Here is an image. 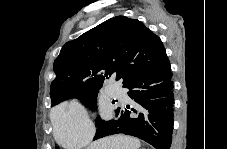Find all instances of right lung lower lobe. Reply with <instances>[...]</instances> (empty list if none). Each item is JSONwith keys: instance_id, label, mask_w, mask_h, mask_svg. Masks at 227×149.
Returning a JSON list of instances; mask_svg holds the SVG:
<instances>
[{"instance_id": "obj_1", "label": "right lung lower lobe", "mask_w": 227, "mask_h": 149, "mask_svg": "<svg viewBox=\"0 0 227 149\" xmlns=\"http://www.w3.org/2000/svg\"><path fill=\"white\" fill-rule=\"evenodd\" d=\"M123 87L137 108H118V120L104 121L97 127L94 140L113 134L138 137L156 149H169L173 132V82L168 58L148 72L138 75ZM132 112L135 114L130 115Z\"/></svg>"}]
</instances>
